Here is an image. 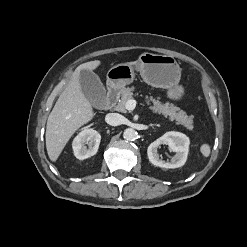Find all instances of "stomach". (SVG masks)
<instances>
[{
  "mask_svg": "<svg viewBox=\"0 0 247 247\" xmlns=\"http://www.w3.org/2000/svg\"><path fill=\"white\" fill-rule=\"evenodd\" d=\"M135 71L148 85L167 89V97L172 100H180L184 95V88L179 85L181 68L175 58L149 52L141 54L134 66L129 63L113 66L107 73V85L121 90L133 82Z\"/></svg>",
  "mask_w": 247,
  "mask_h": 247,
  "instance_id": "obj_1",
  "label": "stomach"
}]
</instances>
